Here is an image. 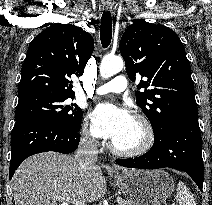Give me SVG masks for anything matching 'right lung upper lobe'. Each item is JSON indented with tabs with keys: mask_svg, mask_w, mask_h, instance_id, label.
Here are the masks:
<instances>
[{
	"mask_svg": "<svg viewBox=\"0 0 212 205\" xmlns=\"http://www.w3.org/2000/svg\"><path fill=\"white\" fill-rule=\"evenodd\" d=\"M92 36L73 24H52L29 45L19 98L39 93L75 96L71 76H81L92 55Z\"/></svg>",
	"mask_w": 212,
	"mask_h": 205,
	"instance_id": "1",
	"label": "right lung upper lobe"
}]
</instances>
